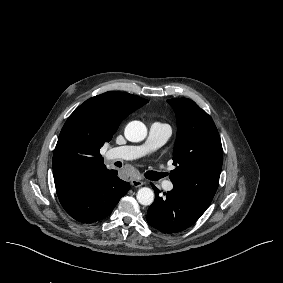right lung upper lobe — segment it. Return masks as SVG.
I'll return each instance as SVG.
<instances>
[{"label": "right lung upper lobe", "instance_id": "obj_1", "mask_svg": "<svg viewBox=\"0 0 283 283\" xmlns=\"http://www.w3.org/2000/svg\"><path fill=\"white\" fill-rule=\"evenodd\" d=\"M147 102L136 95L109 91L88 99L69 116L53 155L58 196L81 188L106 168L100 148L111 141L125 117Z\"/></svg>", "mask_w": 283, "mask_h": 283}]
</instances>
